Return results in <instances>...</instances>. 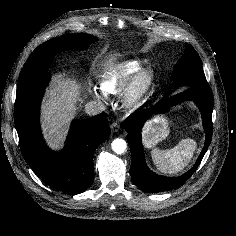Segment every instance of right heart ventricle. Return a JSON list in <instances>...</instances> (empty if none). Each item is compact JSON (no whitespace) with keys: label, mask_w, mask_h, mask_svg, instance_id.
<instances>
[{"label":"right heart ventricle","mask_w":236,"mask_h":236,"mask_svg":"<svg viewBox=\"0 0 236 236\" xmlns=\"http://www.w3.org/2000/svg\"><path fill=\"white\" fill-rule=\"evenodd\" d=\"M142 61L132 59L111 67L101 78L100 86L105 94L117 95L141 69Z\"/></svg>","instance_id":"e07e8e85"}]
</instances>
